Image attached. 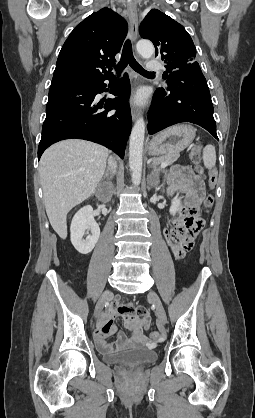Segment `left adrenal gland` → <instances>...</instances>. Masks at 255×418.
Returning <instances> with one entry per match:
<instances>
[{
	"label": "left adrenal gland",
	"mask_w": 255,
	"mask_h": 418,
	"mask_svg": "<svg viewBox=\"0 0 255 418\" xmlns=\"http://www.w3.org/2000/svg\"><path fill=\"white\" fill-rule=\"evenodd\" d=\"M149 168H153L152 174H158L160 172V169L157 168L154 164H149ZM149 184L151 187H155L157 189V182L155 184L149 182Z\"/></svg>",
	"instance_id": "obj_1"
}]
</instances>
